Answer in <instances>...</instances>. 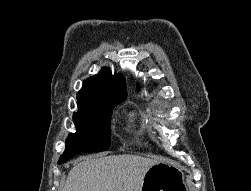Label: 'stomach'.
Instances as JSON below:
<instances>
[{
    "label": "stomach",
    "instance_id": "stomach-1",
    "mask_svg": "<svg viewBox=\"0 0 251 191\" xmlns=\"http://www.w3.org/2000/svg\"><path fill=\"white\" fill-rule=\"evenodd\" d=\"M184 173L175 165L158 161L149 167L141 183V191H186Z\"/></svg>",
    "mask_w": 251,
    "mask_h": 191
}]
</instances>
